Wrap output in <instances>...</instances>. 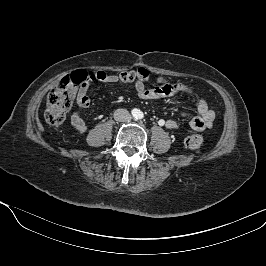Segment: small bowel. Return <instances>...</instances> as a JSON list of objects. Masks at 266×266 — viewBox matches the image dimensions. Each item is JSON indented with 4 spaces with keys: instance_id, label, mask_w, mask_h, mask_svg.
Instances as JSON below:
<instances>
[{
    "instance_id": "c3829d8e",
    "label": "small bowel",
    "mask_w": 266,
    "mask_h": 266,
    "mask_svg": "<svg viewBox=\"0 0 266 266\" xmlns=\"http://www.w3.org/2000/svg\"><path fill=\"white\" fill-rule=\"evenodd\" d=\"M92 81H98L104 84H112L120 81V78L116 75L108 74L105 71L99 70L90 73ZM158 86L152 89H146L142 81L135 83L136 96L141 100H154L173 96L177 93H185L187 95H193L194 90L188 84L183 83H169L161 76H156L154 79ZM90 105V97L88 95V87L84 85L80 87L77 95L76 110L71 116V125L79 133L87 131V125L79 115L78 110L86 109ZM198 116L190 117L187 113L182 112L183 117L189 118V125L196 131H203L210 129L213 126L215 114L209 107L207 101L204 98H199L195 104ZM165 127L169 130L176 129L178 122L174 119L165 121Z\"/></svg>"
}]
</instances>
